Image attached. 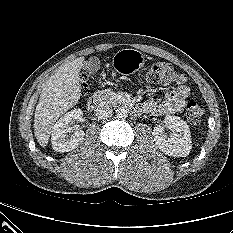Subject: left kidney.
I'll return each instance as SVG.
<instances>
[{
  "instance_id": "5707ae66",
  "label": "left kidney",
  "mask_w": 233,
  "mask_h": 233,
  "mask_svg": "<svg viewBox=\"0 0 233 233\" xmlns=\"http://www.w3.org/2000/svg\"><path fill=\"white\" fill-rule=\"evenodd\" d=\"M165 126L172 133L170 136L164 133L163 126L154 128L152 134L159 149L167 155L176 157H186L189 155L192 141L190 129L187 123L177 116H166Z\"/></svg>"
}]
</instances>
